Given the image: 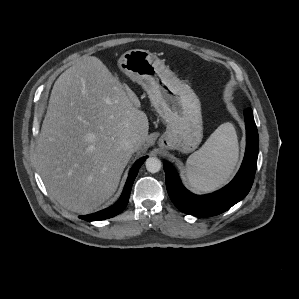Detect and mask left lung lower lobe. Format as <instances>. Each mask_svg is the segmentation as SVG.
<instances>
[{
    "label": "left lung lower lobe",
    "mask_w": 299,
    "mask_h": 299,
    "mask_svg": "<svg viewBox=\"0 0 299 299\" xmlns=\"http://www.w3.org/2000/svg\"><path fill=\"white\" fill-rule=\"evenodd\" d=\"M246 124V151L241 168L224 188L212 194L195 195L181 183L175 168L164 164L166 187L174 205L186 214L210 217L221 214L242 200L250 191L257 167L258 132L251 108L244 111Z\"/></svg>",
    "instance_id": "obj_1"
}]
</instances>
